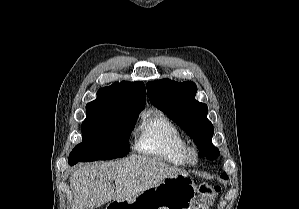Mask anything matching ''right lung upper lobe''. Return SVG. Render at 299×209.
Masks as SVG:
<instances>
[{
	"label": "right lung upper lobe",
	"instance_id": "1",
	"mask_svg": "<svg viewBox=\"0 0 299 209\" xmlns=\"http://www.w3.org/2000/svg\"><path fill=\"white\" fill-rule=\"evenodd\" d=\"M145 100L146 89L142 82H116L100 89L97 99L86 105V111L140 113Z\"/></svg>",
	"mask_w": 299,
	"mask_h": 209
}]
</instances>
